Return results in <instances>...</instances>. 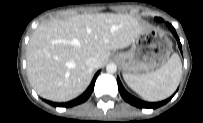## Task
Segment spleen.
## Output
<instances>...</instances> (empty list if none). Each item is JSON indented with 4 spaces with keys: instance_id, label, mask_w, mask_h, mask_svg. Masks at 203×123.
<instances>
[{
    "instance_id": "3e777b00",
    "label": "spleen",
    "mask_w": 203,
    "mask_h": 123,
    "mask_svg": "<svg viewBox=\"0 0 203 123\" xmlns=\"http://www.w3.org/2000/svg\"><path fill=\"white\" fill-rule=\"evenodd\" d=\"M182 75V63L178 54L154 72L131 75L123 74L128 86L147 101H161L176 90Z\"/></svg>"
}]
</instances>
